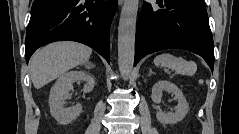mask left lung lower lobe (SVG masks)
I'll return each instance as SVG.
<instances>
[{"label": "left lung lower lobe", "instance_id": "0a47b994", "mask_svg": "<svg viewBox=\"0 0 239 134\" xmlns=\"http://www.w3.org/2000/svg\"><path fill=\"white\" fill-rule=\"evenodd\" d=\"M157 9L144 2L137 23L134 66L147 54L185 49L207 62L213 71L214 46L204 0H157Z\"/></svg>", "mask_w": 239, "mask_h": 134}]
</instances>
